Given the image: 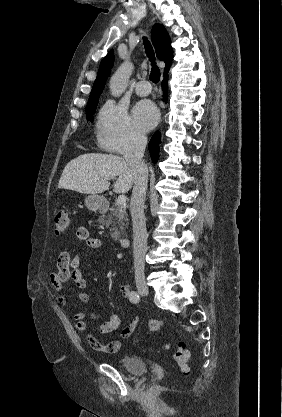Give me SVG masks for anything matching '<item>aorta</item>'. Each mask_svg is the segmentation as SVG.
I'll return each mask as SVG.
<instances>
[{
	"label": "aorta",
	"instance_id": "1",
	"mask_svg": "<svg viewBox=\"0 0 282 417\" xmlns=\"http://www.w3.org/2000/svg\"><path fill=\"white\" fill-rule=\"evenodd\" d=\"M134 68L133 62L124 60L110 78L109 86L112 96H121L122 92L126 90V82L130 78Z\"/></svg>",
	"mask_w": 282,
	"mask_h": 417
}]
</instances>
